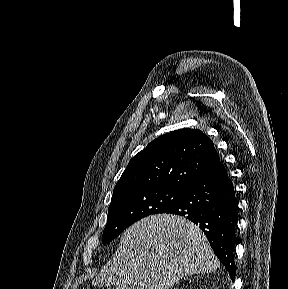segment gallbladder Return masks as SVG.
<instances>
[{
	"label": "gallbladder",
	"instance_id": "bac80fb5",
	"mask_svg": "<svg viewBox=\"0 0 288 289\" xmlns=\"http://www.w3.org/2000/svg\"><path fill=\"white\" fill-rule=\"evenodd\" d=\"M112 284H114V281H112V282L108 281V282L105 283L106 286H108V285L110 286Z\"/></svg>",
	"mask_w": 288,
	"mask_h": 289
}]
</instances>
